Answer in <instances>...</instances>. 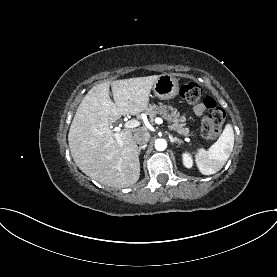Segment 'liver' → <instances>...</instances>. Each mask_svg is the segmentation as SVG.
I'll return each instance as SVG.
<instances>
[{
	"label": "liver",
	"instance_id": "obj_1",
	"mask_svg": "<svg viewBox=\"0 0 277 277\" xmlns=\"http://www.w3.org/2000/svg\"><path fill=\"white\" fill-rule=\"evenodd\" d=\"M158 78L159 75H153L104 82L85 95L68 134L71 155L83 173L115 188L129 187L138 181L140 162L132 131L114 133L109 126L121 115L146 111ZM110 86L114 102L109 96Z\"/></svg>",
	"mask_w": 277,
	"mask_h": 277
}]
</instances>
